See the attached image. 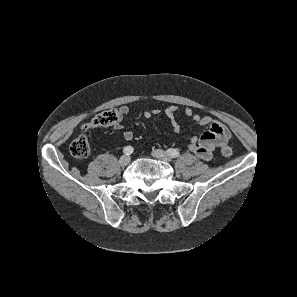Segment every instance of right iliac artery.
Instances as JSON below:
<instances>
[{"label": "right iliac artery", "instance_id": "right-iliac-artery-1", "mask_svg": "<svg viewBox=\"0 0 297 297\" xmlns=\"http://www.w3.org/2000/svg\"><path fill=\"white\" fill-rule=\"evenodd\" d=\"M134 149L132 146H126L123 149V152L125 155H131L133 153Z\"/></svg>", "mask_w": 297, "mask_h": 297}]
</instances>
